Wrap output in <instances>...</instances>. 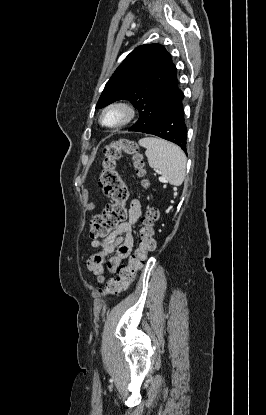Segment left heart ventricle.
<instances>
[{
  "mask_svg": "<svg viewBox=\"0 0 266 415\" xmlns=\"http://www.w3.org/2000/svg\"><path fill=\"white\" fill-rule=\"evenodd\" d=\"M120 119V113L118 112H109L106 116H105V122L108 124H114L116 122H118Z\"/></svg>",
  "mask_w": 266,
  "mask_h": 415,
  "instance_id": "1",
  "label": "left heart ventricle"
}]
</instances>
